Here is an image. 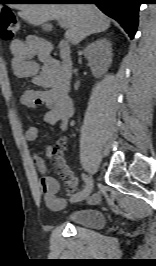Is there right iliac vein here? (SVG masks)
<instances>
[{"mask_svg": "<svg viewBox=\"0 0 156 266\" xmlns=\"http://www.w3.org/2000/svg\"><path fill=\"white\" fill-rule=\"evenodd\" d=\"M88 185H85L84 189L76 194H74L70 201L75 203V202H80L84 200L86 197H88L92 191L93 188V179L91 176L88 177Z\"/></svg>", "mask_w": 156, "mask_h": 266, "instance_id": "1", "label": "right iliac vein"}]
</instances>
